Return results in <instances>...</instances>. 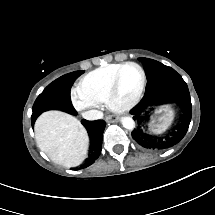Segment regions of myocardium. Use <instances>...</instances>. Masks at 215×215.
Masks as SVG:
<instances>
[{"label": "myocardium", "mask_w": 215, "mask_h": 215, "mask_svg": "<svg viewBox=\"0 0 215 215\" xmlns=\"http://www.w3.org/2000/svg\"><path fill=\"white\" fill-rule=\"evenodd\" d=\"M126 67H132L138 72V82L133 95L129 92H124L117 89V86L119 85L118 78L121 76V69ZM145 83V73L138 63L132 61L120 63L118 69L116 70L114 82L111 84V90L107 93L108 108L112 110L115 109L116 113L120 115L129 113L131 109L130 106L134 105L139 100Z\"/></svg>", "instance_id": "myocardium-1"}]
</instances>
